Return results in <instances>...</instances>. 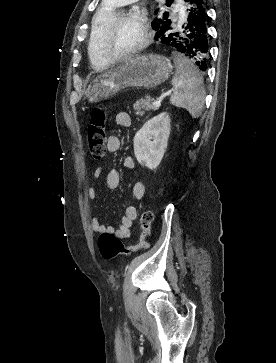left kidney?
<instances>
[{
  "label": "left kidney",
  "mask_w": 276,
  "mask_h": 363,
  "mask_svg": "<svg viewBox=\"0 0 276 363\" xmlns=\"http://www.w3.org/2000/svg\"><path fill=\"white\" fill-rule=\"evenodd\" d=\"M170 117L163 112L148 120L134 137L137 161L153 170L160 164L170 135Z\"/></svg>",
  "instance_id": "1"
}]
</instances>
